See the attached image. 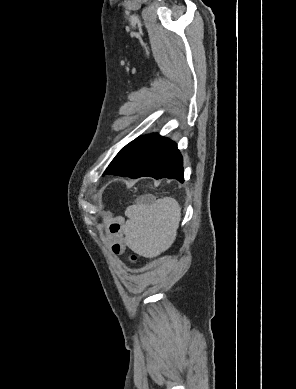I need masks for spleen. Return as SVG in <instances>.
Segmentation results:
<instances>
[{
	"mask_svg": "<svg viewBox=\"0 0 296 389\" xmlns=\"http://www.w3.org/2000/svg\"><path fill=\"white\" fill-rule=\"evenodd\" d=\"M124 227L127 246L146 258L166 251L174 242L181 218V207L170 197L143 199L127 208Z\"/></svg>",
	"mask_w": 296,
	"mask_h": 389,
	"instance_id": "spleen-1",
	"label": "spleen"
}]
</instances>
